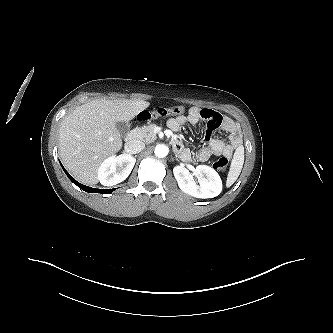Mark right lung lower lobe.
<instances>
[{"mask_svg": "<svg viewBox=\"0 0 333 333\" xmlns=\"http://www.w3.org/2000/svg\"><path fill=\"white\" fill-rule=\"evenodd\" d=\"M62 165V164H61ZM63 167V166H62ZM64 169V168H63ZM65 173L67 174L68 178L74 183L76 184L80 189L86 191V192H90V193H110L113 190L112 189H96V188H92V187H88L85 186L79 182H77L72 176H70V174L64 169Z\"/></svg>", "mask_w": 333, "mask_h": 333, "instance_id": "1", "label": "right lung lower lobe"}]
</instances>
